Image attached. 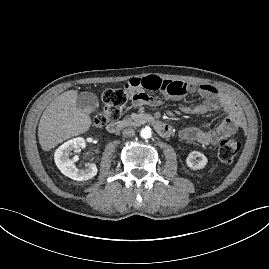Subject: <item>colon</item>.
I'll return each instance as SVG.
<instances>
[{
	"instance_id": "obj_1",
	"label": "colon",
	"mask_w": 269,
	"mask_h": 269,
	"mask_svg": "<svg viewBox=\"0 0 269 269\" xmlns=\"http://www.w3.org/2000/svg\"><path fill=\"white\" fill-rule=\"evenodd\" d=\"M128 95L126 86L125 89H106L102 94L103 109L96 116L95 123L98 126H104L108 122L116 120L128 100ZM240 149L241 143L237 138L230 136L223 139L218 147L219 160L226 164L233 162Z\"/></svg>"
}]
</instances>
